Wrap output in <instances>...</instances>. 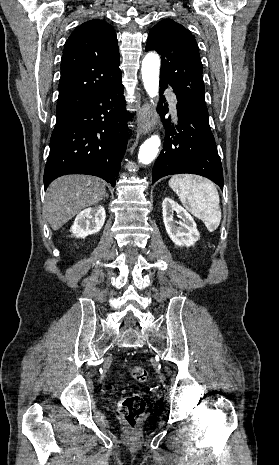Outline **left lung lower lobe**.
Wrapping results in <instances>:
<instances>
[{
    "label": "left lung lower lobe",
    "instance_id": "obj_1",
    "mask_svg": "<svg viewBox=\"0 0 279 465\" xmlns=\"http://www.w3.org/2000/svg\"><path fill=\"white\" fill-rule=\"evenodd\" d=\"M168 84L160 81V94ZM162 98V102L165 100ZM178 126L164 120L165 142L152 172V181L171 174L192 173L209 178L223 190V170L209 118L177 97ZM165 108L161 107V114ZM164 117V115H163Z\"/></svg>",
    "mask_w": 279,
    "mask_h": 465
}]
</instances>
